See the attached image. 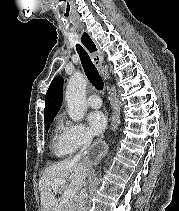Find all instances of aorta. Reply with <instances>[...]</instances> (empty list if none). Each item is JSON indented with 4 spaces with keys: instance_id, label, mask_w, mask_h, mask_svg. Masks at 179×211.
I'll return each instance as SVG.
<instances>
[{
    "instance_id": "1",
    "label": "aorta",
    "mask_w": 179,
    "mask_h": 211,
    "mask_svg": "<svg viewBox=\"0 0 179 211\" xmlns=\"http://www.w3.org/2000/svg\"><path fill=\"white\" fill-rule=\"evenodd\" d=\"M87 87V79L80 73H76L70 77L65 100L68 105L69 117L74 121H81L87 110L85 92Z\"/></svg>"
}]
</instances>
